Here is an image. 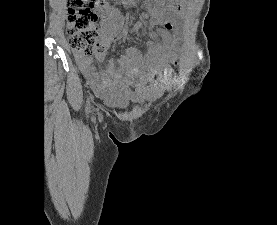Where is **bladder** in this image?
<instances>
[{"mask_svg": "<svg viewBox=\"0 0 277 225\" xmlns=\"http://www.w3.org/2000/svg\"><path fill=\"white\" fill-rule=\"evenodd\" d=\"M118 107L122 108V109H125L127 107V105H125V104H119Z\"/></svg>", "mask_w": 277, "mask_h": 225, "instance_id": "31cf9c89", "label": "bladder"}]
</instances>
